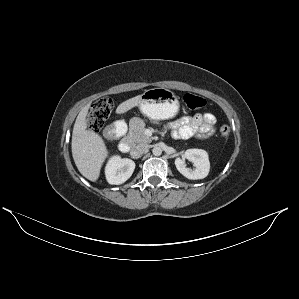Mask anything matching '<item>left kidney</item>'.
Instances as JSON below:
<instances>
[{
	"mask_svg": "<svg viewBox=\"0 0 299 299\" xmlns=\"http://www.w3.org/2000/svg\"><path fill=\"white\" fill-rule=\"evenodd\" d=\"M184 157L194 164L195 169L187 168L183 159L176 158L175 166L183 176L191 180H197L203 179L208 175L210 162L208 153L205 150L188 149L185 151Z\"/></svg>",
	"mask_w": 299,
	"mask_h": 299,
	"instance_id": "obj_1",
	"label": "left kidney"
}]
</instances>
